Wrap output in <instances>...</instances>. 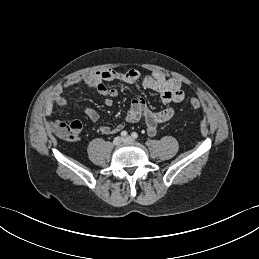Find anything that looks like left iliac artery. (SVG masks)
I'll return each mask as SVG.
<instances>
[{
  "label": "left iliac artery",
  "instance_id": "44dca946",
  "mask_svg": "<svg viewBox=\"0 0 259 259\" xmlns=\"http://www.w3.org/2000/svg\"><path fill=\"white\" fill-rule=\"evenodd\" d=\"M131 136H132L134 139H136V138L138 137V134H137L136 132H133V133L131 134Z\"/></svg>",
  "mask_w": 259,
  "mask_h": 259
}]
</instances>
